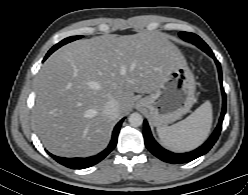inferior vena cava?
<instances>
[{
	"instance_id": "602c4592",
	"label": "inferior vena cava",
	"mask_w": 248,
	"mask_h": 195,
	"mask_svg": "<svg viewBox=\"0 0 248 195\" xmlns=\"http://www.w3.org/2000/svg\"><path fill=\"white\" fill-rule=\"evenodd\" d=\"M103 113L112 119H116L119 116V103L116 100H110L106 102Z\"/></svg>"
}]
</instances>
